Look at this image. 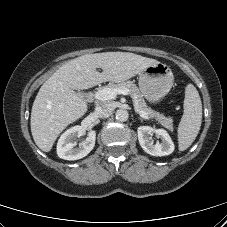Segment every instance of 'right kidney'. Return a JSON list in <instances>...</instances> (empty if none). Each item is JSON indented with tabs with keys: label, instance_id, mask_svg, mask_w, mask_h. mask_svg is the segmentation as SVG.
I'll return each mask as SVG.
<instances>
[{
	"label": "right kidney",
	"instance_id": "obj_1",
	"mask_svg": "<svg viewBox=\"0 0 227 227\" xmlns=\"http://www.w3.org/2000/svg\"><path fill=\"white\" fill-rule=\"evenodd\" d=\"M84 133L81 126H74L65 131L58 140L57 154L65 160H78L87 156L95 146L96 132H88L86 139L77 146L76 137Z\"/></svg>",
	"mask_w": 227,
	"mask_h": 227
}]
</instances>
